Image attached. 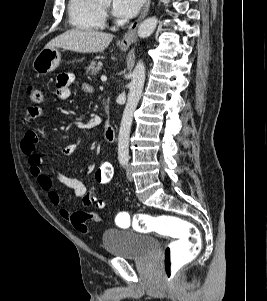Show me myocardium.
Masks as SVG:
<instances>
[{"label":"myocardium","mask_w":267,"mask_h":301,"mask_svg":"<svg viewBox=\"0 0 267 301\" xmlns=\"http://www.w3.org/2000/svg\"><path fill=\"white\" fill-rule=\"evenodd\" d=\"M99 5H100V8L102 9V11H106L107 10L106 7L102 6L101 4H99Z\"/></svg>","instance_id":"f54148a6"}]
</instances>
